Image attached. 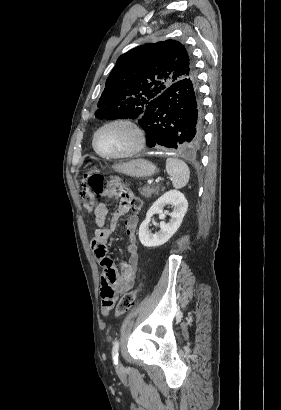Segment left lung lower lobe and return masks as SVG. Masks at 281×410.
<instances>
[{"mask_svg": "<svg viewBox=\"0 0 281 410\" xmlns=\"http://www.w3.org/2000/svg\"><path fill=\"white\" fill-rule=\"evenodd\" d=\"M139 124L148 147L195 150L203 141V113L196 76L180 80L150 101Z\"/></svg>", "mask_w": 281, "mask_h": 410, "instance_id": "left-lung-lower-lobe-1", "label": "left lung lower lobe"}]
</instances>
